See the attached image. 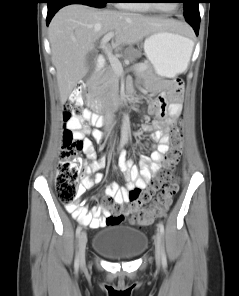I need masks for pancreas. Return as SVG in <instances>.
Segmentation results:
<instances>
[{"mask_svg": "<svg viewBox=\"0 0 239 296\" xmlns=\"http://www.w3.org/2000/svg\"><path fill=\"white\" fill-rule=\"evenodd\" d=\"M125 54L129 59H134L140 53L136 50L130 49L127 50ZM142 65H144L146 69L139 74L143 77L150 78L153 74L152 67L147 62L143 63ZM96 92L101 96L104 94H118L119 75L115 73L112 67H108L101 73L100 77L98 78V86L96 87Z\"/></svg>", "mask_w": 239, "mask_h": 296, "instance_id": "1", "label": "pancreas"}]
</instances>
